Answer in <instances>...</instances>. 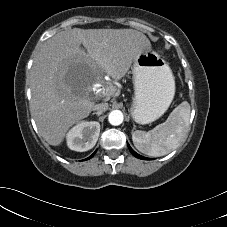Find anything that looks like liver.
<instances>
[{
    "mask_svg": "<svg viewBox=\"0 0 227 227\" xmlns=\"http://www.w3.org/2000/svg\"><path fill=\"white\" fill-rule=\"evenodd\" d=\"M150 49L149 39L133 29L73 28L48 39L35 56L30 73L31 113L40 135L50 145H60L69 128L89 116L95 99L115 92L113 86L101 84L96 73L104 71L119 81L134 59ZM72 59L86 62L93 73L90 87L79 94L65 91L58 80L61 66ZM95 84L101 88L94 89Z\"/></svg>",
    "mask_w": 227,
    "mask_h": 227,
    "instance_id": "liver-1",
    "label": "liver"
}]
</instances>
